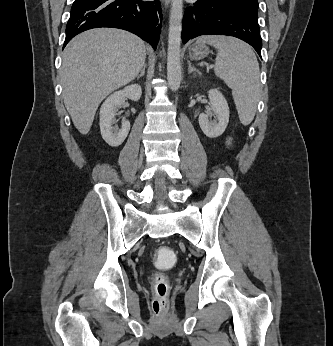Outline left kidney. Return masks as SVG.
Wrapping results in <instances>:
<instances>
[{"label": "left kidney", "mask_w": 333, "mask_h": 346, "mask_svg": "<svg viewBox=\"0 0 333 346\" xmlns=\"http://www.w3.org/2000/svg\"><path fill=\"white\" fill-rule=\"evenodd\" d=\"M211 103L209 113L199 115V125L203 133L209 138H216L223 134L229 122V107L223 94L217 89L208 91ZM211 115H215L216 120H209Z\"/></svg>", "instance_id": "5707ae66"}]
</instances>
